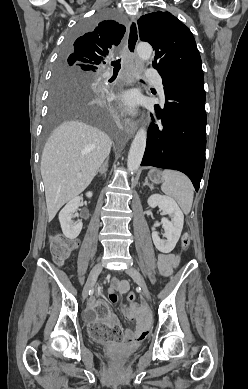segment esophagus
<instances>
[{"instance_id":"1","label":"esophagus","mask_w":248,"mask_h":389,"mask_svg":"<svg viewBox=\"0 0 248 389\" xmlns=\"http://www.w3.org/2000/svg\"><path fill=\"white\" fill-rule=\"evenodd\" d=\"M139 41L138 27L135 18H130V21L127 25V41H126V49L127 53L131 58V64L134 69H141V61L139 60L136 47ZM124 127L128 136L132 137L137 130V122L126 118L124 120Z\"/></svg>"}]
</instances>
